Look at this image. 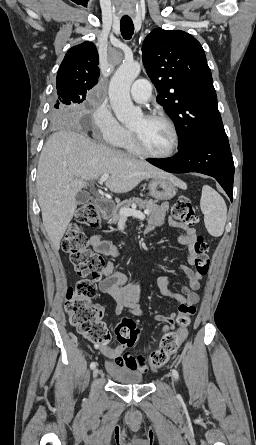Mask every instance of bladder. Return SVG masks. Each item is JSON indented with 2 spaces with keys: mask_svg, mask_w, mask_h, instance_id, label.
Here are the masks:
<instances>
[{
  "mask_svg": "<svg viewBox=\"0 0 256 445\" xmlns=\"http://www.w3.org/2000/svg\"><path fill=\"white\" fill-rule=\"evenodd\" d=\"M111 374L114 380L120 384H140L143 380V376L138 371H123L118 372L111 370Z\"/></svg>",
  "mask_w": 256,
  "mask_h": 445,
  "instance_id": "bladder-1",
  "label": "bladder"
}]
</instances>
